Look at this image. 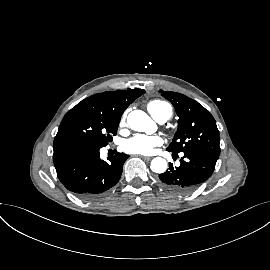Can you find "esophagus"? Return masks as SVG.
I'll return each mask as SVG.
<instances>
[{
  "mask_svg": "<svg viewBox=\"0 0 270 270\" xmlns=\"http://www.w3.org/2000/svg\"><path fill=\"white\" fill-rule=\"evenodd\" d=\"M142 158L148 161L152 159V157H148V156H143Z\"/></svg>",
  "mask_w": 270,
  "mask_h": 270,
  "instance_id": "esophagus-1",
  "label": "esophagus"
}]
</instances>
